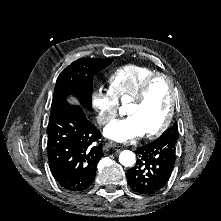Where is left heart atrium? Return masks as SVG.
Wrapping results in <instances>:
<instances>
[{
    "instance_id": "left-heart-atrium-1",
    "label": "left heart atrium",
    "mask_w": 221,
    "mask_h": 221,
    "mask_svg": "<svg viewBox=\"0 0 221 221\" xmlns=\"http://www.w3.org/2000/svg\"><path fill=\"white\" fill-rule=\"evenodd\" d=\"M104 134L106 137L120 142L129 141L144 135L141 128L131 117L112 122L105 128Z\"/></svg>"
}]
</instances>
